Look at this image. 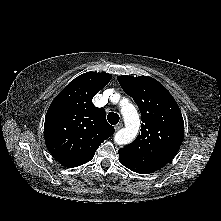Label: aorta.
<instances>
[{
  "mask_svg": "<svg viewBox=\"0 0 221 221\" xmlns=\"http://www.w3.org/2000/svg\"><path fill=\"white\" fill-rule=\"evenodd\" d=\"M121 113L125 128L116 132L114 141L118 145H126L131 143L137 136L140 127V117L136 108L132 104H126L123 106Z\"/></svg>",
  "mask_w": 221,
  "mask_h": 221,
  "instance_id": "obj_1",
  "label": "aorta"
}]
</instances>
